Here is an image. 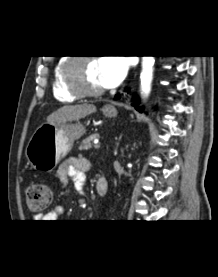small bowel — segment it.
Wrapping results in <instances>:
<instances>
[{
  "mask_svg": "<svg viewBox=\"0 0 218 277\" xmlns=\"http://www.w3.org/2000/svg\"><path fill=\"white\" fill-rule=\"evenodd\" d=\"M91 162L85 158H70L64 161L58 169L57 175L62 184L72 180L75 189L84 193L86 186V173L91 168ZM64 214L63 206H56L44 215H37L40 222H54Z\"/></svg>",
  "mask_w": 218,
  "mask_h": 277,
  "instance_id": "obj_1",
  "label": "small bowel"
}]
</instances>
